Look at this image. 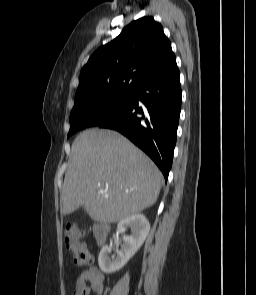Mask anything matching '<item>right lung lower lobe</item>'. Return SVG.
<instances>
[{
  "instance_id": "1",
  "label": "right lung lower lobe",
  "mask_w": 256,
  "mask_h": 295,
  "mask_svg": "<svg viewBox=\"0 0 256 295\" xmlns=\"http://www.w3.org/2000/svg\"><path fill=\"white\" fill-rule=\"evenodd\" d=\"M138 100L144 108L138 107ZM180 110V73L174 55L139 85L129 109L113 118L95 120L88 127L109 128L125 135L152 158L167 181Z\"/></svg>"
}]
</instances>
